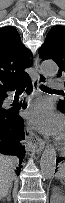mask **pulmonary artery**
Returning a JSON list of instances; mask_svg holds the SVG:
<instances>
[{
    "label": "pulmonary artery",
    "mask_w": 65,
    "mask_h": 203,
    "mask_svg": "<svg viewBox=\"0 0 65 203\" xmlns=\"http://www.w3.org/2000/svg\"><path fill=\"white\" fill-rule=\"evenodd\" d=\"M62 87V84L61 83H59L58 81H52L51 82V88L52 89H59V88H61Z\"/></svg>",
    "instance_id": "obj_1"
}]
</instances>
